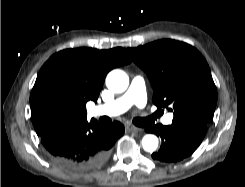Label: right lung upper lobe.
I'll return each instance as SVG.
<instances>
[{"mask_svg":"<svg viewBox=\"0 0 245 187\" xmlns=\"http://www.w3.org/2000/svg\"><path fill=\"white\" fill-rule=\"evenodd\" d=\"M130 62L121 47L66 49L52 55L42 66L30 95L31 119L37 134L56 125L86 120V103L97 101L106 74ZM49 84L59 86L68 95L69 104L62 114L49 112L37 102L38 92Z\"/></svg>","mask_w":245,"mask_h":187,"instance_id":"cb5924a9","label":"right lung upper lobe"}]
</instances>
